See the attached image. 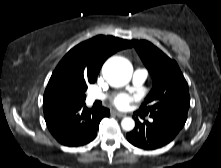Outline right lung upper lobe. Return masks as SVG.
Returning a JSON list of instances; mask_svg holds the SVG:
<instances>
[{"label": "right lung upper lobe", "instance_id": "1", "mask_svg": "<svg viewBox=\"0 0 221 168\" xmlns=\"http://www.w3.org/2000/svg\"><path fill=\"white\" fill-rule=\"evenodd\" d=\"M131 47L129 41L99 35L72 48L55 68L44 93L43 106L71 103L61 91L67 79L94 83L105 60L115 52Z\"/></svg>", "mask_w": 221, "mask_h": 168}]
</instances>
